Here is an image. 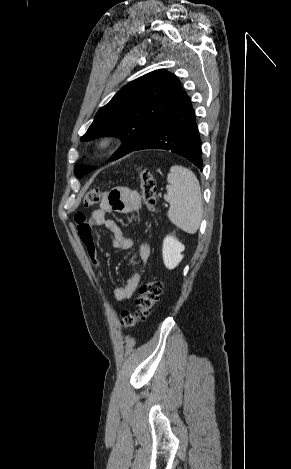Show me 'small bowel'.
Segmentation results:
<instances>
[{"label": "small bowel", "mask_w": 291, "mask_h": 469, "mask_svg": "<svg viewBox=\"0 0 291 469\" xmlns=\"http://www.w3.org/2000/svg\"><path fill=\"white\" fill-rule=\"evenodd\" d=\"M141 209V200L137 191L127 188L118 187L107 192L97 210L93 211L87 218L82 214L76 216L77 229L86 252L90 258L92 266L96 269L100 268L97 259L96 244L93 237V229L95 227L104 226L112 233V245L117 249H130L133 245L131 238L127 237L115 220L107 219V212L134 214ZM82 229L86 230V234L82 233ZM150 256V247L148 242L143 241L138 250L139 263L145 266ZM139 281V269H136L126 284L117 287L114 290V296L118 301H124L132 297L135 293Z\"/></svg>", "instance_id": "obj_1"}]
</instances>
